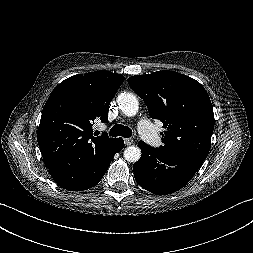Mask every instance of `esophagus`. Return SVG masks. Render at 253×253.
I'll list each match as a JSON object with an SVG mask.
<instances>
[{"label": "esophagus", "mask_w": 253, "mask_h": 253, "mask_svg": "<svg viewBox=\"0 0 253 253\" xmlns=\"http://www.w3.org/2000/svg\"><path fill=\"white\" fill-rule=\"evenodd\" d=\"M124 143H125V145H131V144H133V139L132 138H125L124 139Z\"/></svg>", "instance_id": "1"}]
</instances>
